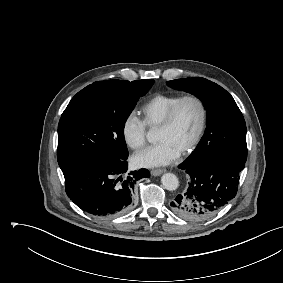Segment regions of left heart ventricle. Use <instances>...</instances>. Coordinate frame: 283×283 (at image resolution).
<instances>
[{
    "label": "left heart ventricle",
    "instance_id": "obj_1",
    "mask_svg": "<svg viewBox=\"0 0 283 283\" xmlns=\"http://www.w3.org/2000/svg\"><path fill=\"white\" fill-rule=\"evenodd\" d=\"M200 120V110L194 101H186L179 109L169 129H158L157 140L167 141L182 151L193 139Z\"/></svg>",
    "mask_w": 283,
    "mask_h": 283
}]
</instances>
